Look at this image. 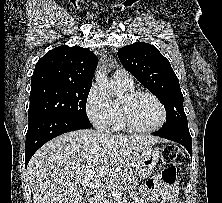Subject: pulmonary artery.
Returning <instances> with one entry per match:
<instances>
[{
    "label": "pulmonary artery",
    "mask_w": 222,
    "mask_h": 203,
    "mask_svg": "<svg viewBox=\"0 0 222 203\" xmlns=\"http://www.w3.org/2000/svg\"><path fill=\"white\" fill-rule=\"evenodd\" d=\"M113 78L119 86L127 88L133 87L132 76L125 69H117L113 74Z\"/></svg>",
    "instance_id": "pulmonary-artery-1"
}]
</instances>
